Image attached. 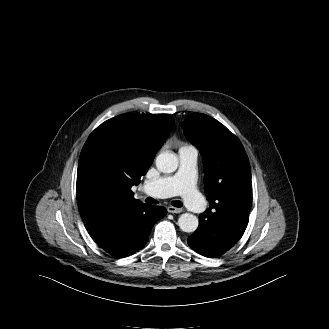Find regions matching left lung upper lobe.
I'll use <instances>...</instances> for the list:
<instances>
[{"instance_id": "left-lung-upper-lobe-1", "label": "left lung upper lobe", "mask_w": 329, "mask_h": 329, "mask_svg": "<svg viewBox=\"0 0 329 329\" xmlns=\"http://www.w3.org/2000/svg\"><path fill=\"white\" fill-rule=\"evenodd\" d=\"M180 126L204 158V186L210 208L201 214L210 223L237 217L249 208L251 171L239 139L216 119L201 113L188 115Z\"/></svg>"}]
</instances>
